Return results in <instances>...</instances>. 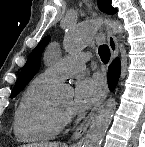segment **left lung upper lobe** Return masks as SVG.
Wrapping results in <instances>:
<instances>
[{"instance_id":"obj_1","label":"left lung upper lobe","mask_w":145,"mask_h":147,"mask_svg":"<svg viewBox=\"0 0 145 147\" xmlns=\"http://www.w3.org/2000/svg\"><path fill=\"white\" fill-rule=\"evenodd\" d=\"M98 5L102 11L108 14H114L117 11L111 6V0H98ZM49 41V36L42 39L37 47L30 54L12 90V98L15 97L26 86V84L34 77L36 72L39 70L41 54Z\"/></svg>"}]
</instances>
